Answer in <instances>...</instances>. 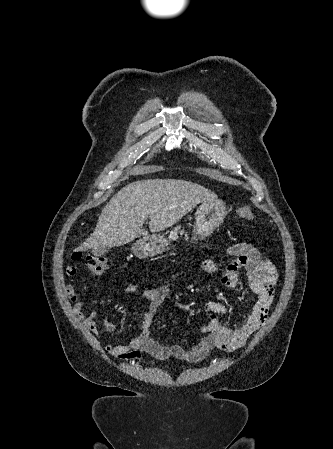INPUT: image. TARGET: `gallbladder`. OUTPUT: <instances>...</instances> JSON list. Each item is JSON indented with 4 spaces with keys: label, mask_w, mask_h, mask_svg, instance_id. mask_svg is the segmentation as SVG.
Wrapping results in <instances>:
<instances>
[{
    "label": "gallbladder",
    "mask_w": 333,
    "mask_h": 449,
    "mask_svg": "<svg viewBox=\"0 0 333 449\" xmlns=\"http://www.w3.org/2000/svg\"><path fill=\"white\" fill-rule=\"evenodd\" d=\"M106 252H107V249L104 247H99V248L92 250V253L97 257L103 256Z\"/></svg>",
    "instance_id": "1"
}]
</instances>
